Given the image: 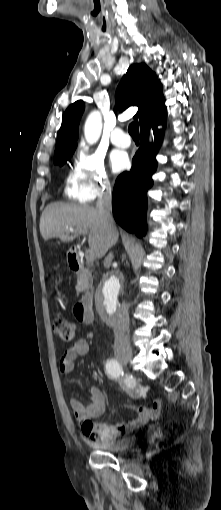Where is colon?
I'll return each instance as SVG.
<instances>
[{
	"label": "colon",
	"instance_id": "obj_1",
	"mask_svg": "<svg viewBox=\"0 0 221 510\" xmlns=\"http://www.w3.org/2000/svg\"><path fill=\"white\" fill-rule=\"evenodd\" d=\"M52 328L56 336L65 344L72 343L78 334V326L74 322L63 317L55 318L52 323Z\"/></svg>",
	"mask_w": 221,
	"mask_h": 510
}]
</instances>
